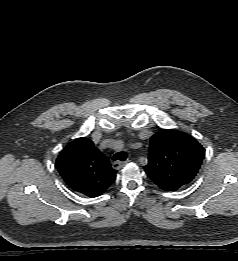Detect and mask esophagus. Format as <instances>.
Masks as SVG:
<instances>
[{
  "label": "esophagus",
  "mask_w": 238,
  "mask_h": 261,
  "mask_svg": "<svg viewBox=\"0 0 238 261\" xmlns=\"http://www.w3.org/2000/svg\"><path fill=\"white\" fill-rule=\"evenodd\" d=\"M130 160L127 159L126 161L122 162V161H115L112 163V167L113 169L119 170L121 169L126 163H128Z\"/></svg>",
  "instance_id": "34e87169"
}]
</instances>
